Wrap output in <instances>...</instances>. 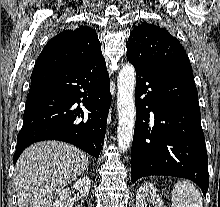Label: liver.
<instances>
[{
    "label": "liver",
    "mask_w": 220,
    "mask_h": 207,
    "mask_svg": "<svg viewBox=\"0 0 220 207\" xmlns=\"http://www.w3.org/2000/svg\"><path fill=\"white\" fill-rule=\"evenodd\" d=\"M88 164L83 151L64 142L29 146L14 170L18 207H51L56 194L83 174Z\"/></svg>",
    "instance_id": "6515ba94"
}]
</instances>
